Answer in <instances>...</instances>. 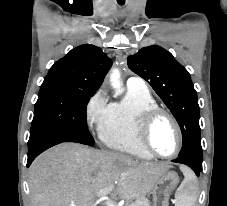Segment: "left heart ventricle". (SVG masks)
<instances>
[{
	"instance_id": "obj_1",
	"label": "left heart ventricle",
	"mask_w": 227,
	"mask_h": 206,
	"mask_svg": "<svg viewBox=\"0 0 227 206\" xmlns=\"http://www.w3.org/2000/svg\"><path fill=\"white\" fill-rule=\"evenodd\" d=\"M150 142L160 154L169 155L175 151L177 136L169 119L161 116L155 121L150 133Z\"/></svg>"
}]
</instances>
